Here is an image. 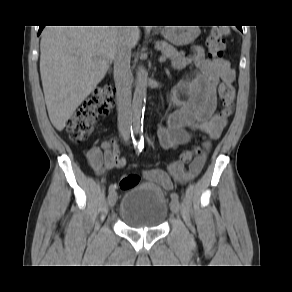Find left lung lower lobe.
Instances as JSON below:
<instances>
[{
  "mask_svg": "<svg viewBox=\"0 0 292 292\" xmlns=\"http://www.w3.org/2000/svg\"><path fill=\"white\" fill-rule=\"evenodd\" d=\"M237 27H238V26H237ZM238 29L242 31V28H241L240 26L238 27Z\"/></svg>",
  "mask_w": 292,
  "mask_h": 292,
  "instance_id": "0a47b994",
  "label": "left lung lower lobe"
}]
</instances>
